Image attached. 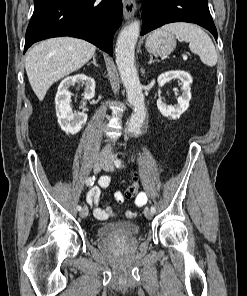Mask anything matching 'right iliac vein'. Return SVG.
Wrapping results in <instances>:
<instances>
[{"instance_id":"63e3f726","label":"right iliac vein","mask_w":247,"mask_h":296,"mask_svg":"<svg viewBox=\"0 0 247 296\" xmlns=\"http://www.w3.org/2000/svg\"><path fill=\"white\" fill-rule=\"evenodd\" d=\"M105 161H106V159H105L104 156H99V157L95 160V162H94V166H93V169H94V172H95V173H98V172L101 170V168H102L103 164L105 163ZM87 215H88V207H87V206H84V207L81 209V211H80V216H81L82 218H85V217H87Z\"/></svg>"}]
</instances>
